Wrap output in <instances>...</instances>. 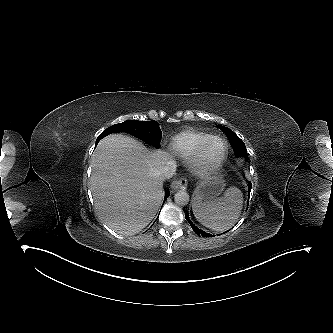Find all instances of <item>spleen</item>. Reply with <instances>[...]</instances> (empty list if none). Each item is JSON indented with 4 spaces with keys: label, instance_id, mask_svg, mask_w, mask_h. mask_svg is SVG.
<instances>
[{
    "label": "spleen",
    "instance_id": "obj_1",
    "mask_svg": "<svg viewBox=\"0 0 333 333\" xmlns=\"http://www.w3.org/2000/svg\"><path fill=\"white\" fill-rule=\"evenodd\" d=\"M242 193L231 187L222 197L210 201L194 198L192 208L197 221L214 231L231 228L238 220L242 210Z\"/></svg>",
    "mask_w": 333,
    "mask_h": 333
}]
</instances>
